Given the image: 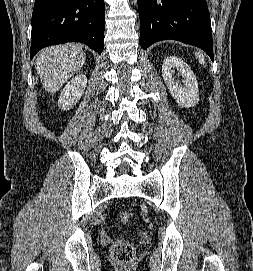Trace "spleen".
I'll return each mask as SVG.
<instances>
[{
	"label": "spleen",
	"mask_w": 253,
	"mask_h": 271,
	"mask_svg": "<svg viewBox=\"0 0 253 271\" xmlns=\"http://www.w3.org/2000/svg\"><path fill=\"white\" fill-rule=\"evenodd\" d=\"M195 56L198 58V60H199V62H200L201 64H204V63H205L203 54H201V53H199V52H196V53H195Z\"/></svg>",
	"instance_id": "spleen-1"
}]
</instances>
